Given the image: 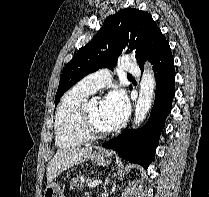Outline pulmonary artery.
I'll return each instance as SVG.
<instances>
[{"mask_svg": "<svg viewBox=\"0 0 209 197\" xmlns=\"http://www.w3.org/2000/svg\"><path fill=\"white\" fill-rule=\"evenodd\" d=\"M125 71L131 75H139V67L132 61L127 60L124 67ZM111 81L109 71L101 69L84 77L78 84L90 92L94 93L100 88L105 87Z\"/></svg>", "mask_w": 209, "mask_h": 197, "instance_id": "pulmonary-artery-1", "label": "pulmonary artery"}]
</instances>
